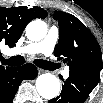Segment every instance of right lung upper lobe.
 Returning <instances> with one entry per match:
<instances>
[{
	"label": "right lung upper lobe",
	"instance_id": "obj_1",
	"mask_svg": "<svg viewBox=\"0 0 103 103\" xmlns=\"http://www.w3.org/2000/svg\"><path fill=\"white\" fill-rule=\"evenodd\" d=\"M46 16L47 12L40 7H0V45L15 46L26 25L32 19ZM4 69L5 67L0 66V71Z\"/></svg>",
	"mask_w": 103,
	"mask_h": 103
}]
</instances>
